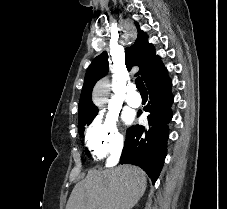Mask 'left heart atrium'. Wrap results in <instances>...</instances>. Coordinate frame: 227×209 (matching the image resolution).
I'll use <instances>...</instances> for the list:
<instances>
[{"label":"left heart atrium","mask_w":227,"mask_h":209,"mask_svg":"<svg viewBox=\"0 0 227 209\" xmlns=\"http://www.w3.org/2000/svg\"><path fill=\"white\" fill-rule=\"evenodd\" d=\"M132 120H133V116H132V115H126V116H125V121H126L127 123H131Z\"/></svg>","instance_id":"left-heart-atrium-1"}]
</instances>
